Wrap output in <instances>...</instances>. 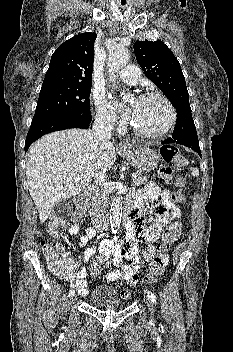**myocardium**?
Segmentation results:
<instances>
[{
    "label": "myocardium",
    "instance_id": "f54148a6",
    "mask_svg": "<svg viewBox=\"0 0 233 352\" xmlns=\"http://www.w3.org/2000/svg\"><path fill=\"white\" fill-rule=\"evenodd\" d=\"M152 98H157V99L162 100L169 109L170 119H169V122L167 123V125L165 126V128L159 132L149 133V132H144V131L138 129L136 126H134L132 124V122L130 124V128L136 135H138L141 138L160 139V138L164 137L165 135H167L171 131V129L174 127V125L177 121V113H176V109H175L174 105L172 104V102L164 94H162L160 92L144 93L139 97L138 100L142 101V100H148V99H152Z\"/></svg>",
    "mask_w": 233,
    "mask_h": 352
}]
</instances>
